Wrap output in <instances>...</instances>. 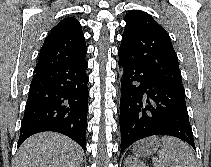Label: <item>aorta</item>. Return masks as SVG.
I'll list each match as a JSON object with an SVG mask.
<instances>
[{"label": "aorta", "mask_w": 211, "mask_h": 167, "mask_svg": "<svg viewBox=\"0 0 211 167\" xmlns=\"http://www.w3.org/2000/svg\"><path fill=\"white\" fill-rule=\"evenodd\" d=\"M122 75H123V69L121 68V70H120V77H122Z\"/></svg>", "instance_id": "obj_1"}]
</instances>
